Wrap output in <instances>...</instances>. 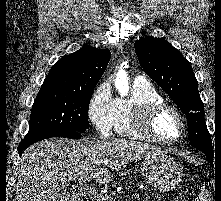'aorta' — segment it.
Returning a JSON list of instances; mask_svg holds the SVG:
<instances>
[{"mask_svg":"<svg viewBox=\"0 0 221 201\" xmlns=\"http://www.w3.org/2000/svg\"><path fill=\"white\" fill-rule=\"evenodd\" d=\"M115 87L121 95H126L129 91V82L126 72L120 71L115 79Z\"/></svg>","mask_w":221,"mask_h":201,"instance_id":"aorta-1","label":"aorta"}]
</instances>
